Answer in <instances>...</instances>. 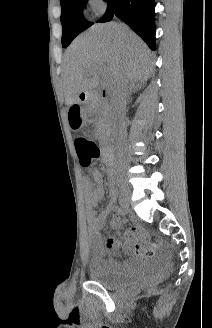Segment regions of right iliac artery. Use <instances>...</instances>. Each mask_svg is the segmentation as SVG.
Segmentation results:
<instances>
[{"instance_id":"82829eb1","label":"right iliac artery","mask_w":212,"mask_h":328,"mask_svg":"<svg viewBox=\"0 0 212 328\" xmlns=\"http://www.w3.org/2000/svg\"><path fill=\"white\" fill-rule=\"evenodd\" d=\"M119 203H120V205H121L122 207L125 206V201H124V199H120Z\"/></svg>"}]
</instances>
